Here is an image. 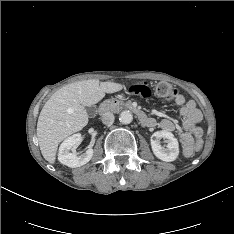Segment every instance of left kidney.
I'll use <instances>...</instances> for the list:
<instances>
[{"mask_svg":"<svg viewBox=\"0 0 234 234\" xmlns=\"http://www.w3.org/2000/svg\"><path fill=\"white\" fill-rule=\"evenodd\" d=\"M167 143L166 148L161 146L160 140ZM151 148L154 155L162 161L172 162L179 155V143L174 135L166 130L156 131L151 137Z\"/></svg>","mask_w":234,"mask_h":234,"instance_id":"1","label":"left kidney"}]
</instances>
